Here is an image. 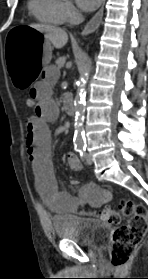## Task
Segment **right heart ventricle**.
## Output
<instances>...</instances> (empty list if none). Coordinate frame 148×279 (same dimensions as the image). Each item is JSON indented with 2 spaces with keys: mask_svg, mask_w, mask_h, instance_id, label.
<instances>
[{
  "mask_svg": "<svg viewBox=\"0 0 148 279\" xmlns=\"http://www.w3.org/2000/svg\"><path fill=\"white\" fill-rule=\"evenodd\" d=\"M28 8L41 23L56 26L66 22L61 0H29Z\"/></svg>",
  "mask_w": 148,
  "mask_h": 279,
  "instance_id": "obj_1",
  "label": "right heart ventricle"
}]
</instances>
